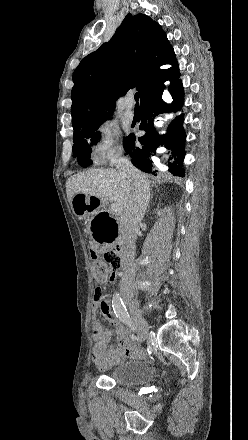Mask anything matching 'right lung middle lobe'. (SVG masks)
I'll list each match as a JSON object with an SVG mask.
<instances>
[{"mask_svg":"<svg viewBox=\"0 0 248 440\" xmlns=\"http://www.w3.org/2000/svg\"><path fill=\"white\" fill-rule=\"evenodd\" d=\"M96 130L97 129L82 132L73 136V157H77L78 163L83 167H87L92 164L90 159V154L92 151L90 140L92 141V144H95V140L100 138V133L98 131L96 132ZM127 142L128 138L126 137L123 140L124 148L126 147Z\"/></svg>","mask_w":248,"mask_h":440,"instance_id":"obj_1","label":"right lung middle lobe"}]
</instances>
